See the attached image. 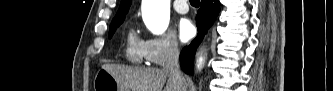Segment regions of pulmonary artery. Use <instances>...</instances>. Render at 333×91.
Instances as JSON below:
<instances>
[{
    "label": "pulmonary artery",
    "instance_id": "obj_1",
    "mask_svg": "<svg viewBox=\"0 0 333 91\" xmlns=\"http://www.w3.org/2000/svg\"><path fill=\"white\" fill-rule=\"evenodd\" d=\"M174 10L179 14H186L189 11L186 0H176L174 2Z\"/></svg>",
    "mask_w": 333,
    "mask_h": 91
}]
</instances>
